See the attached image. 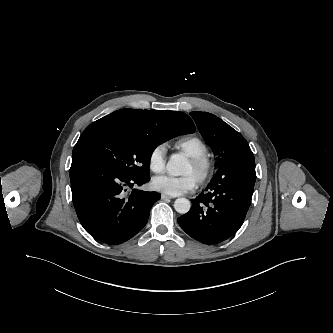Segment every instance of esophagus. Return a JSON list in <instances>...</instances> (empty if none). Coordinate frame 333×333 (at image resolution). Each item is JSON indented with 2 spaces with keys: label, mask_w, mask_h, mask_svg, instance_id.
<instances>
[{
  "label": "esophagus",
  "mask_w": 333,
  "mask_h": 333,
  "mask_svg": "<svg viewBox=\"0 0 333 333\" xmlns=\"http://www.w3.org/2000/svg\"><path fill=\"white\" fill-rule=\"evenodd\" d=\"M161 199H163V200H169V199H172V197L171 196H169V195H166V194H161Z\"/></svg>",
  "instance_id": "obj_1"
}]
</instances>
